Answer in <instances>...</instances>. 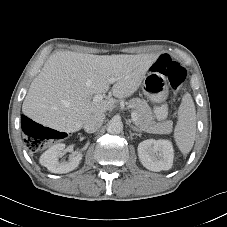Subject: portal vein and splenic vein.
Segmentation results:
<instances>
[{"label": "portal vein and splenic vein", "mask_w": 227, "mask_h": 227, "mask_svg": "<svg viewBox=\"0 0 227 227\" xmlns=\"http://www.w3.org/2000/svg\"><path fill=\"white\" fill-rule=\"evenodd\" d=\"M117 81V78L116 77H111L109 79V83H114ZM104 98V94H96L94 97H93V101L94 102H99L101 101L102 99ZM131 117H132V121L136 124L137 123V119H138V116H137V113L135 111H132L131 112Z\"/></svg>", "instance_id": "portal-vein-and-splenic-vein-1"}]
</instances>
